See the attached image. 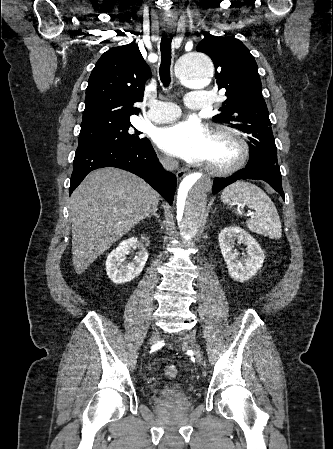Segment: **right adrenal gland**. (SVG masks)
Returning a JSON list of instances; mask_svg holds the SVG:
<instances>
[{
	"instance_id": "obj_1",
	"label": "right adrenal gland",
	"mask_w": 333,
	"mask_h": 449,
	"mask_svg": "<svg viewBox=\"0 0 333 449\" xmlns=\"http://www.w3.org/2000/svg\"><path fill=\"white\" fill-rule=\"evenodd\" d=\"M157 210H154L153 213L151 215H149L148 217L150 218L151 216H155L156 218H160V216L157 214Z\"/></svg>"
}]
</instances>
